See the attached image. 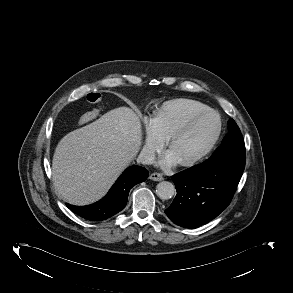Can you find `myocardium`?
<instances>
[{"label": "myocardium", "instance_id": "f54148a6", "mask_svg": "<svg viewBox=\"0 0 293 293\" xmlns=\"http://www.w3.org/2000/svg\"><path fill=\"white\" fill-rule=\"evenodd\" d=\"M207 115H215L217 118V128L216 131L214 133V135L212 136V138L209 140V142L207 143V145L202 149L201 152H199L196 156H194L193 158L186 160V161H182L180 162V164L182 166L185 167H191L194 166L196 164H198L199 162H201L210 152L211 150L214 148V146L216 145L221 132H222V119L220 114L213 110V109H207L198 113L193 114L192 116H190L185 122H183L175 131H173L171 133V135L167 138V147L170 149L171 144L180 136H182L183 134H185L190 128L191 126L198 121L199 119H201L204 116Z\"/></svg>", "mask_w": 293, "mask_h": 293}]
</instances>
